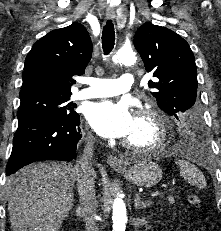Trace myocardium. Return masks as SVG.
<instances>
[{
    "instance_id": "1",
    "label": "myocardium",
    "mask_w": 221,
    "mask_h": 231,
    "mask_svg": "<svg viewBox=\"0 0 221 231\" xmlns=\"http://www.w3.org/2000/svg\"><path fill=\"white\" fill-rule=\"evenodd\" d=\"M136 118H142L151 122L156 131L155 140L149 144H135L130 140L124 139L122 144L127 149L146 153L155 152L166 146L168 140V126L164 115L153 106H144L137 110Z\"/></svg>"
}]
</instances>
